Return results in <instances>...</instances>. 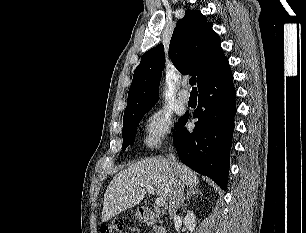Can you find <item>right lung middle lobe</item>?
Instances as JSON below:
<instances>
[{
	"label": "right lung middle lobe",
	"instance_id": "1",
	"mask_svg": "<svg viewBox=\"0 0 306 233\" xmlns=\"http://www.w3.org/2000/svg\"><path fill=\"white\" fill-rule=\"evenodd\" d=\"M154 105L141 109L133 114L123 117V145L122 150H125L129 145L135 141V133L139 121L142 119L144 114L148 112ZM176 128V126H175Z\"/></svg>",
	"mask_w": 306,
	"mask_h": 233
}]
</instances>
